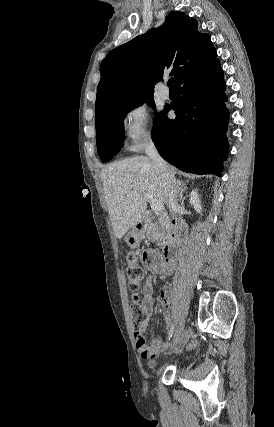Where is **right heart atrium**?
Segmentation results:
<instances>
[{"label":"right heart atrium","mask_w":274,"mask_h":427,"mask_svg":"<svg viewBox=\"0 0 274 427\" xmlns=\"http://www.w3.org/2000/svg\"><path fill=\"white\" fill-rule=\"evenodd\" d=\"M125 144L132 151H140L153 140L151 114L145 105L129 108L123 117Z\"/></svg>","instance_id":"1"}]
</instances>
